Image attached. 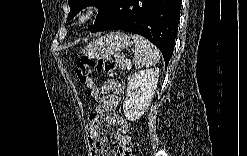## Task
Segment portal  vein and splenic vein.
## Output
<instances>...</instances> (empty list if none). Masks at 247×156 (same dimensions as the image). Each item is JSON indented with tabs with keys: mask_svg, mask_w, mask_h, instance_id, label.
I'll list each match as a JSON object with an SVG mask.
<instances>
[{
	"mask_svg": "<svg viewBox=\"0 0 247 156\" xmlns=\"http://www.w3.org/2000/svg\"><path fill=\"white\" fill-rule=\"evenodd\" d=\"M130 60H127L126 62H125V65H126V67H130Z\"/></svg>",
	"mask_w": 247,
	"mask_h": 156,
	"instance_id": "obj_1",
	"label": "portal vein and splenic vein"
}]
</instances>
